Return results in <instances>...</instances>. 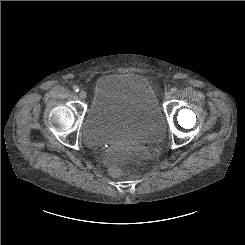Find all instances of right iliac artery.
<instances>
[{
    "label": "right iliac artery",
    "mask_w": 245,
    "mask_h": 245,
    "mask_svg": "<svg viewBox=\"0 0 245 245\" xmlns=\"http://www.w3.org/2000/svg\"><path fill=\"white\" fill-rule=\"evenodd\" d=\"M73 90H74L75 92H78V91H79V87H78V86H74V87H73Z\"/></svg>",
    "instance_id": "1"
}]
</instances>
